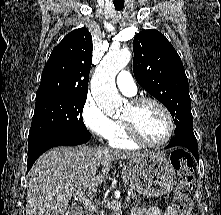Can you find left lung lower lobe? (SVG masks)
<instances>
[{
    "instance_id": "0a47b994",
    "label": "left lung lower lobe",
    "mask_w": 221,
    "mask_h": 215,
    "mask_svg": "<svg viewBox=\"0 0 221 215\" xmlns=\"http://www.w3.org/2000/svg\"><path fill=\"white\" fill-rule=\"evenodd\" d=\"M175 146H181L187 148L197 160L199 159L197 140L194 135L178 136L176 139L170 142V144L165 148H170Z\"/></svg>"
}]
</instances>
